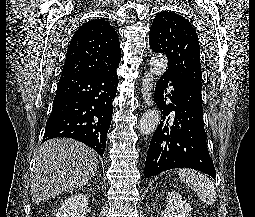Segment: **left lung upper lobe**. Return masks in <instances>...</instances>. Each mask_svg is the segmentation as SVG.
<instances>
[{
	"instance_id": "left-lung-upper-lobe-1",
	"label": "left lung upper lobe",
	"mask_w": 255,
	"mask_h": 217,
	"mask_svg": "<svg viewBox=\"0 0 255 217\" xmlns=\"http://www.w3.org/2000/svg\"><path fill=\"white\" fill-rule=\"evenodd\" d=\"M152 50L166 55L167 71L202 88L198 35L184 17L168 11L158 13L149 35Z\"/></svg>"
}]
</instances>
